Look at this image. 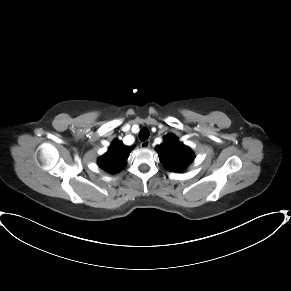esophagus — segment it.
I'll return each mask as SVG.
<instances>
[{
  "label": "esophagus",
  "mask_w": 291,
  "mask_h": 291,
  "mask_svg": "<svg viewBox=\"0 0 291 291\" xmlns=\"http://www.w3.org/2000/svg\"><path fill=\"white\" fill-rule=\"evenodd\" d=\"M140 146H141V148H144V149L149 148L150 147V142L148 140H146L144 142H141Z\"/></svg>",
  "instance_id": "1"
}]
</instances>
